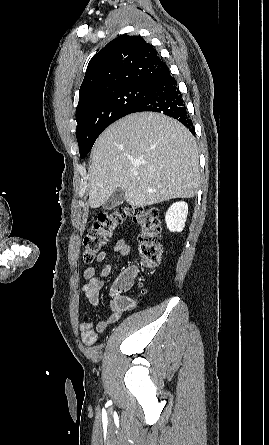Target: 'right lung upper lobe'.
Segmentation results:
<instances>
[{
	"label": "right lung upper lobe",
	"mask_w": 269,
	"mask_h": 445,
	"mask_svg": "<svg viewBox=\"0 0 269 445\" xmlns=\"http://www.w3.org/2000/svg\"><path fill=\"white\" fill-rule=\"evenodd\" d=\"M168 67L140 36L121 35L90 60L80 87L77 110L86 102L128 85H151Z\"/></svg>",
	"instance_id": "1"
}]
</instances>
